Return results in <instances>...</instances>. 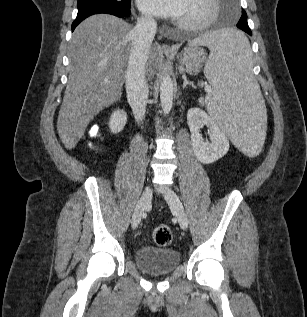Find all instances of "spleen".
<instances>
[{
	"label": "spleen",
	"instance_id": "obj_1",
	"mask_svg": "<svg viewBox=\"0 0 307 317\" xmlns=\"http://www.w3.org/2000/svg\"><path fill=\"white\" fill-rule=\"evenodd\" d=\"M210 49L204 74L213 121L233 140L239 155H262L269 129L260 87L251 73V50L244 29H213L189 43Z\"/></svg>",
	"mask_w": 307,
	"mask_h": 317
}]
</instances>
